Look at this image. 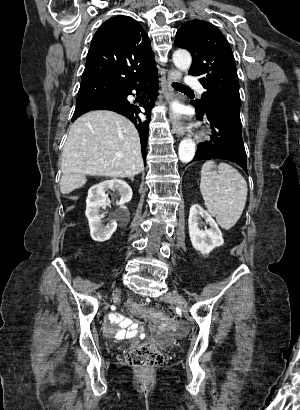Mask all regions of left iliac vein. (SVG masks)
I'll list each match as a JSON object with an SVG mask.
<instances>
[{
    "label": "left iliac vein",
    "instance_id": "1",
    "mask_svg": "<svg viewBox=\"0 0 300 410\" xmlns=\"http://www.w3.org/2000/svg\"><path fill=\"white\" fill-rule=\"evenodd\" d=\"M162 300L174 303L183 309L187 308L186 299L182 295L177 293L176 291L167 292L166 294L163 295Z\"/></svg>",
    "mask_w": 300,
    "mask_h": 410
}]
</instances>
